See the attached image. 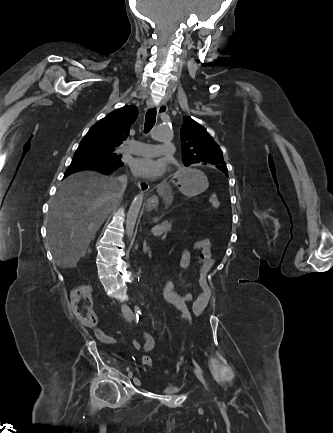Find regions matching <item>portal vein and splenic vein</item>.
<instances>
[{
  "label": "portal vein and splenic vein",
  "mask_w": 333,
  "mask_h": 433,
  "mask_svg": "<svg viewBox=\"0 0 333 433\" xmlns=\"http://www.w3.org/2000/svg\"><path fill=\"white\" fill-rule=\"evenodd\" d=\"M151 231H152L153 235H159V233L155 230V228H152ZM161 239L164 240L165 237L163 236Z\"/></svg>",
  "instance_id": "1"
}]
</instances>
